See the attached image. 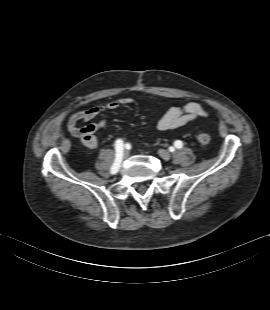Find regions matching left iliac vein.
Listing matches in <instances>:
<instances>
[{"mask_svg": "<svg viewBox=\"0 0 270 310\" xmlns=\"http://www.w3.org/2000/svg\"><path fill=\"white\" fill-rule=\"evenodd\" d=\"M158 153H159L160 157L165 161H168L171 158V155L167 150L160 149Z\"/></svg>", "mask_w": 270, "mask_h": 310, "instance_id": "4c4485c4", "label": "left iliac vein"}]
</instances>
